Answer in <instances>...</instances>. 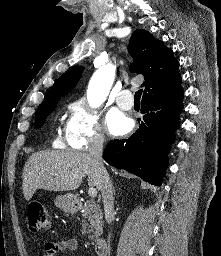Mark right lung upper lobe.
<instances>
[{"instance_id":"obj_1","label":"right lung upper lobe","mask_w":221,"mask_h":256,"mask_svg":"<svg viewBox=\"0 0 221 256\" xmlns=\"http://www.w3.org/2000/svg\"><path fill=\"white\" fill-rule=\"evenodd\" d=\"M129 50L134 57L131 71L144 76L143 98L181 88L179 63L174 58L173 51L149 32L143 29L135 30L130 39ZM83 69L84 67L75 66L59 77L44 101L67 94L75 87Z\"/></svg>"}]
</instances>
